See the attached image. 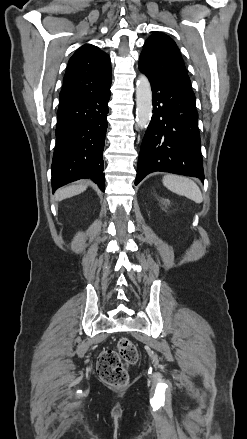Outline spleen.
I'll return each instance as SVG.
<instances>
[{
	"instance_id": "1",
	"label": "spleen",
	"mask_w": 247,
	"mask_h": 439,
	"mask_svg": "<svg viewBox=\"0 0 247 439\" xmlns=\"http://www.w3.org/2000/svg\"><path fill=\"white\" fill-rule=\"evenodd\" d=\"M163 184L170 191L185 196L196 203H202L203 197L198 185L191 179L179 175H166Z\"/></svg>"
}]
</instances>
